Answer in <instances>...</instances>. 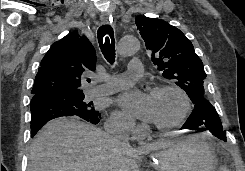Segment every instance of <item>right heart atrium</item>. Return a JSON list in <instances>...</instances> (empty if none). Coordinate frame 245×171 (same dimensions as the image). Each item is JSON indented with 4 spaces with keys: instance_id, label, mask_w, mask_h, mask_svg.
Instances as JSON below:
<instances>
[{
    "instance_id": "right-heart-atrium-1",
    "label": "right heart atrium",
    "mask_w": 245,
    "mask_h": 171,
    "mask_svg": "<svg viewBox=\"0 0 245 171\" xmlns=\"http://www.w3.org/2000/svg\"><path fill=\"white\" fill-rule=\"evenodd\" d=\"M109 125L112 129L127 134H132L136 129L134 121L119 111L112 113L109 120Z\"/></svg>"
}]
</instances>
